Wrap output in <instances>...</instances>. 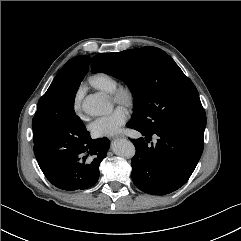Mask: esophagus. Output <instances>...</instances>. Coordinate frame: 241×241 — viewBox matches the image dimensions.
I'll return each mask as SVG.
<instances>
[{"label":"esophagus","mask_w":241,"mask_h":241,"mask_svg":"<svg viewBox=\"0 0 241 241\" xmlns=\"http://www.w3.org/2000/svg\"><path fill=\"white\" fill-rule=\"evenodd\" d=\"M119 138H124V136H115V137H113L114 140L115 139H119Z\"/></svg>","instance_id":"34e87169"}]
</instances>
